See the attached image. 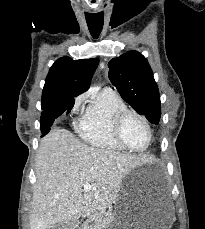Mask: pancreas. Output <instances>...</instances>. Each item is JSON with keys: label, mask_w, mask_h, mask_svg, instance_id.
I'll return each mask as SVG.
<instances>
[{"label": "pancreas", "mask_w": 205, "mask_h": 229, "mask_svg": "<svg viewBox=\"0 0 205 229\" xmlns=\"http://www.w3.org/2000/svg\"><path fill=\"white\" fill-rule=\"evenodd\" d=\"M112 218L111 211H106L105 209L97 210L88 218L82 229H107Z\"/></svg>", "instance_id": "pancreas-1"}]
</instances>
